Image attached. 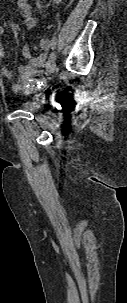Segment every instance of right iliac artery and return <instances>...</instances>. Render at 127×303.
<instances>
[{
	"mask_svg": "<svg viewBox=\"0 0 127 303\" xmlns=\"http://www.w3.org/2000/svg\"><path fill=\"white\" fill-rule=\"evenodd\" d=\"M56 59V54L54 52H52L49 56V60L47 62V66H50Z\"/></svg>",
	"mask_w": 127,
	"mask_h": 303,
	"instance_id": "82829eb1",
	"label": "right iliac artery"
}]
</instances>
